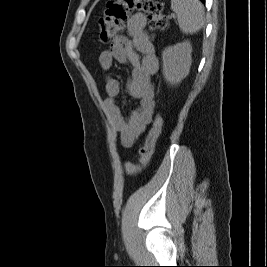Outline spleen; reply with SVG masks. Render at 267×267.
Returning a JSON list of instances; mask_svg holds the SVG:
<instances>
[{
    "instance_id": "spleen-1",
    "label": "spleen",
    "mask_w": 267,
    "mask_h": 267,
    "mask_svg": "<svg viewBox=\"0 0 267 267\" xmlns=\"http://www.w3.org/2000/svg\"><path fill=\"white\" fill-rule=\"evenodd\" d=\"M171 10L176 13L180 30L193 34L204 25V7L199 0H171Z\"/></svg>"
}]
</instances>
